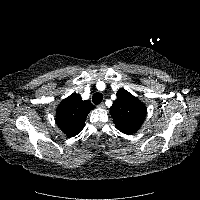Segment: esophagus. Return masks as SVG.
I'll list each match as a JSON object with an SVG mask.
<instances>
[{"mask_svg": "<svg viewBox=\"0 0 200 200\" xmlns=\"http://www.w3.org/2000/svg\"><path fill=\"white\" fill-rule=\"evenodd\" d=\"M97 107L103 109V108H105V104L102 102Z\"/></svg>", "mask_w": 200, "mask_h": 200, "instance_id": "obj_1", "label": "esophagus"}]
</instances>
